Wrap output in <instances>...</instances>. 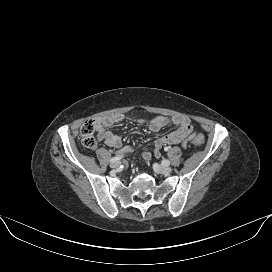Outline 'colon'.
Segmentation results:
<instances>
[{"label": "colon", "mask_w": 272, "mask_h": 272, "mask_svg": "<svg viewBox=\"0 0 272 272\" xmlns=\"http://www.w3.org/2000/svg\"><path fill=\"white\" fill-rule=\"evenodd\" d=\"M95 122L91 119L86 120L80 128V142L85 148L92 149L97 144V139L95 137ZM195 145H202L204 143V137L202 135H197L193 139Z\"/></svg>", "instance_id": "5ec220e1"}]
</instances>
